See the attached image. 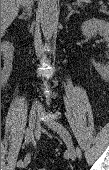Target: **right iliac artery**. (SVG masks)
Masks as SVG:
<instances>
[{
	"instance_id": "obj_1",
	"label": "right iliac artery",
	"mask_w": 109,
	"mask_h": 170,
	"mask_svg": "<svg viewBox=\"0 0 109 170\" xmlns=\"http://www.w3.org/2000/svg\"><path fill=\"white\" fill-rule=\"evenodd\" d=\"M30 142V140H29V138L26 136L25 137V143H29ZM23 165V161L22 160H19L18 162H17V166L18 167H21Z\"/></svg>"
}]
</instances>
